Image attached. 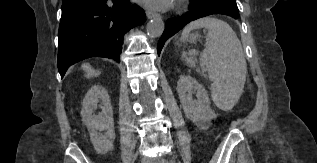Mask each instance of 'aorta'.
<instances>
[{
    "label": "aorta",
    "instance_id": "1",
    "mask_svg": "<svg viewBox=\"0 0 317 163\" xmlns=\"http://www.w3.org/2000/svg\"><path fill=\"white\" fill-rule=\"evenodd\" d=\"M165 24L161 17L157 16L147 24V33L150 37H160L164 31Z\"/></svg>",
    "mask_w": 317,
    "mask_h": 163
}]
</instances>
